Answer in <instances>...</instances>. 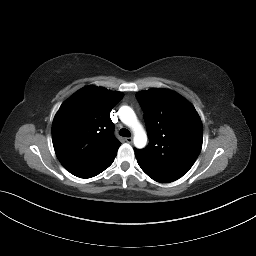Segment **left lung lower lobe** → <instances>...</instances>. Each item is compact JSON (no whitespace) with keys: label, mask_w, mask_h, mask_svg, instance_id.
<instances>
[{"label":"left lung lower lobe","mask_w":256,"mask_h":256,"mask_svg":"<svg viewBox=\"0 0 256 256\" xmlns=\"http://www.w3.org/2000/svg\"><path fill=\"white\" fill-rule=\"evenodd\" d=\"M139 166L142 168V170L149 176L151 177L153 180L160 182V183H168V182H172L175 181L174 179L171 178H166V177H162V176H158V175H154L151 174L149 172H147L142 166L141 164L138 162Z\"/></svg>","instance_id":"1"}]
</instances>
